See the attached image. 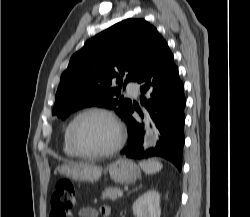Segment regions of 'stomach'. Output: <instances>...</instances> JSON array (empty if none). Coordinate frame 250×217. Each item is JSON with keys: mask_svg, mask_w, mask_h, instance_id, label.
I'll use <instances>...</instances> for the list:
<instances>
[{"mask_svg": "<svg viewBox=\"0 0 250 217\" xmlns=\"http://www.w3.org/2000/svg\"><path fill=\"white\" fill-rule=\"evenodd\" d=\"M60 174L75 180L95 182L102 175V168L93 164H65L57 168ZM111 178L118 183L129 184L140 177L139 167L131 160L119 159L107 167Z\"/></svg>", "mask_w": 250, "mask_h": 217, "instance_id": "1", "label": "stomach"}]
</instances>
